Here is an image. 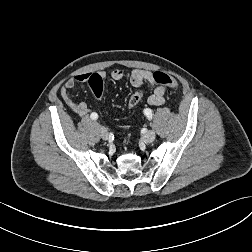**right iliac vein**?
<instances>
[{
	"label": "right iliac vein",
	"mask_w": 252,
	"mask_h": 252,
	"mask_svg": "<svg viewBox=\"0 0 252 252\" xmlns=\"http://www.w3.org/2000/svg\"><path fill=\"white\" fill-rule=\"evenodd\" d=\"M101 137L103 140L109 139V134H108L106 128H101Z\"/></svg>",
	"instance_id": "right-iliac-vein-1"
}]
</instances>
